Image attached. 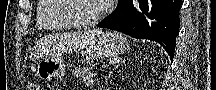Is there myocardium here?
<instances>
[{
    "label": "myocardium",
    "mask_w": 216,
    "mask_h": 90,
    "mask_svg": "<svg viewBox=\"0 0 216 90\" xmlns=\"http://www.w3.org/2000/svg\"><path fill=\"white\" fill-rule=\"evenodd\" d=\"M74 1L81 0H63V2H61L63 8H60V14H62V18H67L72 28H93L97 23L105 18L109 9L107 3L105 1H101L100 10L94 18L89 20H79L73 15Z\"/></svg>",
    "instance_id": "myocardium-1"
}]
</instances>
